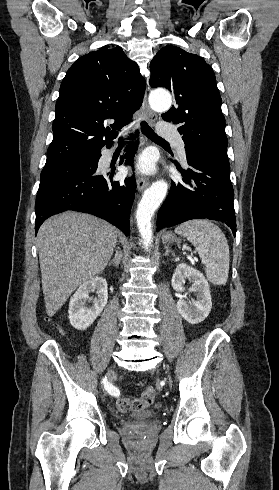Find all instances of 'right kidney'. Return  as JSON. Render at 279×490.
I'll return each instance as SVG.
<instances>
[{"mask_svg": "<svg viewBox=\"0 0 279 490\" xmlns=\"http://www.w3.org/2000/svg\"><path fill=\"white\" fill-rule=\"evenodd\" d=\"M90 292H96L97 298H94L93 306H86V300H89ZM108 300L107 282L104 278H91L84 284H81L77 292L73 294L68 310V318L71 326L76 330H86L104 310Z\"/></svg>", "mask_w": 279, "mask_h": 490, "instance_id": "1", "label": "right kidney"}]
</instances>
